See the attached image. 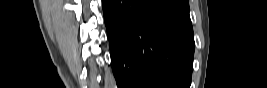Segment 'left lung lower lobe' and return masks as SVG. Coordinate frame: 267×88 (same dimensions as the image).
I'll use <instances>...</instances> for the list:
<instances>
[{"label": "left lung lower lobe", "instance_id": "0a47b994", "mask_svg": "<svg viewBox=\"0 0 267 88\" xmlns=\"http://www.w3.org/2000/svg\"><path fill=\"white\" fill-rule=\"evenodd\" d=\"M118 88H189L194 39L187 0H102Z\"/></svg>", "mask_w": 267, "mask_h": 88}]
</instances>
